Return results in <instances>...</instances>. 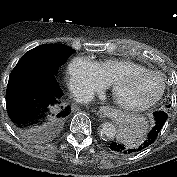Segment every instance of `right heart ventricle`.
<instances>
[{"mask_svg": "<svg viewBox=\"0 0 177 177\" xmlns=\"http://www.w3.org/2000/svg\"><path fill=\"white\" fill-rule=\"evenodd\" d=\"M100 75L107 84L119 75L131 72L147 70L144 66L128 59H106L103 61L94 62Z\"/></svg>", "mask_w": 177, "mask_h": 177, "instance_id": "obj_1", "label": "right heart ventricle"}]
</instances>
